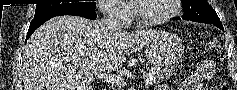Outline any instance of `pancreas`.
Instances as JSON below:
<instances>
[{"label":"pancreas","mask_w":237,"mask_h":90,"mask_svg":"<svg viewBox=\"0 0 237 90\" xmlns=\"http://www.w3.org/2000/svg\"><path fill=\"white\" fill-rule=\"evenodd\" d=\"M174 68L175 66H173V64H164V67L150 68V72L144 74V78H151V82L154 84L156 80H166V78L173 76L172 72H174Z\"/></svg>","instance_id":"cf45deb5"}]
</instances>
